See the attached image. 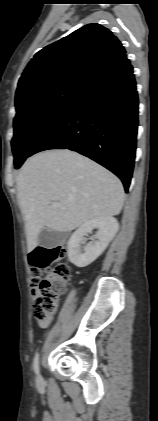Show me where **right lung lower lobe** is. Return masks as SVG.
Segmentation results:
<instances>
[{
  "instance_id": "98d812e1",
  "label": "right lung lower lobe",
  "mask_w": 158,
  "mask_h": 421,
  "mask_svg": "<svg viewBox=\"0 0 158 421\" xmlns=\"http://www.w3.org/2000/svg\"><path fill=\"white\" fill-rule=\"evenodd\" d=\"M138 96L126 54L96 73L68 110L33 147L70 149L116 174L130 185L136 150Z\"/></svg>"
}]
</instances>
